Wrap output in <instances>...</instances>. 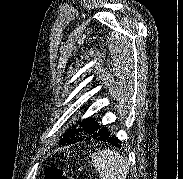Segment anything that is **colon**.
I'll return each mask as SVG.
<instances>
[{"label": "colon", "instance_id": "1", "mask_svg": "<svg viewBox=\"0 0 183 179\" xmlns=\"http://www.w3.org/2000/svg\"><path fill=\"white\" fill-rule=\"evenodd\" d=\"M45 179H75L69 177L62 169L58 167H49L45 171Z\"/></svg>", "mask_w": 183, "mask_h": 179}]
</instances>
